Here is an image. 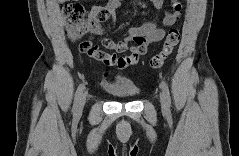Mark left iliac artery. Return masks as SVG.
<instances>
[{"label": "left iliac artery", "mask_w": 239, "mask_h": 156, "mask_svg": "<svg viewBox=\"0 0 239 156\" xmlns=\"http://www.w3.org/2000/svg\"><path fill=\"white\" fill-rule=\"evenodd\" d=\"M162 91H163V95L166 101V105L168 108H170L171 106V97H170V92H169V88L168 85L166 84V82L162 81L160 84Z\"/></svg>", "instance_id": "44dca946"}]
</instances>
